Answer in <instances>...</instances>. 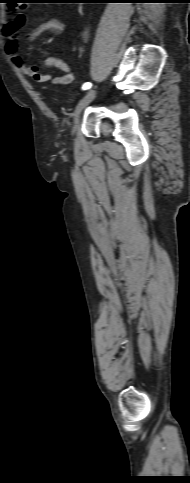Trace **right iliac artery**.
I'll return each mask as SVG.
<instances>
[{"label": "right iliac artery", "mask_w": 190, "mask_h": 483, "mask_svg": "<svg viewBox=\"0 0 190 483\" xmlns=\"http://www.w3.org/2000/svg\"><path fill=\"white\" fill-rule=\"evenodd\" d=\"M91 86H92V84L90 82H86V83L83 84L82 89L87 90V89H90Z\"/></svg>", "instance_id": "82829eb1"}]
</instances>
